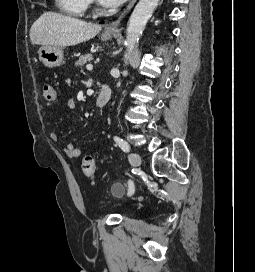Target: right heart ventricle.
Instances as JSON below:
<instances>
[{
    "mask_svg": "<svg viewBox=\"0 0 255 272\" xmlns=\"http://www.w3.org/2000/svg\"><path fill=\"white\" fill-rule=\"evenodd\" d=\"M56 7L64 14L73 17H81L85 13L88 0H55Z\"/></svg>",
    "mask_w": 255,
    "mask_h": 272,
    "instance_id": "right-heart-ventricle-1",
    "label": "right heart ventricle"
}]
</instances>
